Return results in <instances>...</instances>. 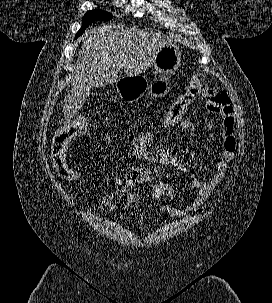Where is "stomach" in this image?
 Segmentation results:
<instances>
[{"mask_svg": "<svg viewBox=\"0 0 272 303\" xmlns=\"http://www.w3.org/2000/svg\"><path fill=\"white\" fill-rule=\"evenodd\" d=\"M181 62V51L178 46L170 43L157 53L154 67L160 78L152 85H147L145 77H124L117 81L116 88L119 95L128 101H138L146 92L154 95L162 89L166 76L176 73Z\"/></svg>", "mask_w": 272, "mask_h": 303, "instance_id": "stomach-1", "label": "stomach"}]
</instances>
